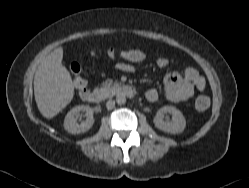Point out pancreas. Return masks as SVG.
<instances>
[{"label":"pancreas","mask_w":249,"mask_h":188,"mask_svg":"<svg viewBox=\"0 0 249 188\" xmlns=\"http://www.w3.org/2000/svg\"><path fill=\"white\" fill-rule=\"evenodd\" d=\"M117 86H118V82L113 81L111 79H108V80H106L105 82L102 83L101 89L104 90V91L111 92Z\"/></svg>","instance_id":"cf45deb5"}]
</instances>
